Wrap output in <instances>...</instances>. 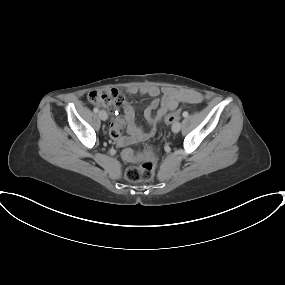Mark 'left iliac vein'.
<instances>
[{"mask_svg": "<svg viewBox=\"0 0 285 285\" xmlns=\"http://www.w3.org/2000/svg\"><path fill=\"white\" fill-rule=\"evenodd\" d=\"M180 128H181L180 122H176V123H174L173 126H172V131H173L174 133H178V132L180 131Z\"/></svg>", "mask_w": 285, "mask_h": 285, "instance_id": "obj_1", "label": "left iliac vein"}]
</instances>
